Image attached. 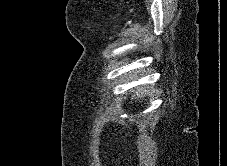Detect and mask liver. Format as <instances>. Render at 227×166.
Instances as JSON below:
<instances>
[{
  "mask_svg": "<svg viewBox=\"0 0 227 166\" xmlns=\"http://www.w3.org/2000/svg\"><path fill=\"white\" fill-rule=\"evenodd\" d=\"M134 93L138 96V98H141V97L144 96V93L142 92V89L139 90L138 92L136 91ZM138 93H140V94H138ZM135 94L132 96V98H131L132 100L135 98Z\"/></svg>",
  "mask_w": 227,
  "mask_h": 166,
  "instance_id": "1",
  "label": "liver"
}]
</instances>
